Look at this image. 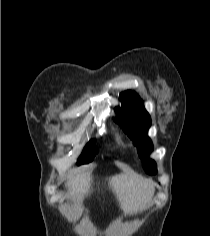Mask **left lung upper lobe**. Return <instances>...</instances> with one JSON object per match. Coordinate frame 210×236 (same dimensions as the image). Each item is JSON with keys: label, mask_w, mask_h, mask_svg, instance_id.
<instances>
[{"label": "left lung upper lobe", "mask_w": 210, "mask_h": 236, "mask_svg": "<svg viewBox=\"0 0 210 236\" xmlns=\"http://www.w3.org/2000/svg\"><path fill=\"white\" fill-rule=\"evenodd\" d=\"M120 101L122 106L116 110L117 117L114 120L120 124L138 147L145 171L148 174H155L157 172L156 163L147 157L153 150L152 142L147 136V131L151 126L150 115L145 110L143 101L133 91L121 93Z\"/></svg>", "instance_id": "1"}]
</instances>
